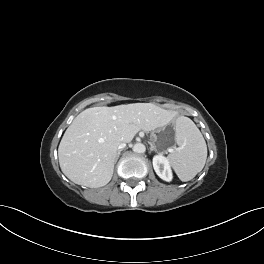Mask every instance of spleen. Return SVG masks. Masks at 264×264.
Listing matches in <instances>:
<instances>
[{
	"label": "spleen",
	"mask_w": 264,
	"mask_h": 264,
	"mask_svg": "<svg viewBox=\"0 0 264 264\" xmlns=\"http://www.w3.org/2000/svg\"><path fill=\"white\" fill-rule=\"evenodd\" d=\"M175 140L178 148L168 155V159L179 179L189 181L206 163V142L195 123L184 116L176 120Z\"/></svg>",
	"instance_id": "3e777b00"
}]
</instances>
